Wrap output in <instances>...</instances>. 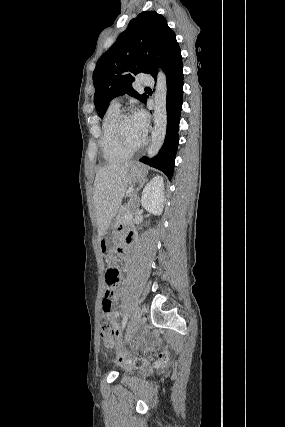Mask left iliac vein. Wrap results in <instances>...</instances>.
I'll return each mask as SVG.
<instances>
[{
  "label": "left iliac vein",
  "mask_w": 285,
  "mask_h": 427,
  "mask_svg": "<svg viewBox=\"0 0 285 427\" xmlns=\"http://www.w3.org/2000/svg\"><path fill=\"white\" fill-rule=\"evenodd\" d=\"M142 314H143V310L141 308H137V310L133 314V317L129 323V326L125 335V343H128L135 335L137 326L141 321Z\"/></svg>",
  "instance_id": "left-iliac-vein-1"
}]
</instances>
